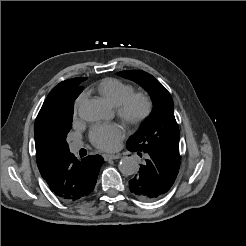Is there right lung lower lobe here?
<instances>
[{
  "label": "right lung lower lobe",
  "instance_id": "obj_1",
  "mask_svg": "<svg viewBox=\"0 0 246 246\" xmlns=\"http://www.w3.org/2000/svg\"><path fill=\"white\" fill-rule=\"evenodd\" d=\"M104 160L100 155L81 161L72 153L60 158L43 176L50 190L65 202H77L89 195L96 184Z\"/></svg>",
  "mask_w": 246,
  "mask_h": 246
}]
</instances>
